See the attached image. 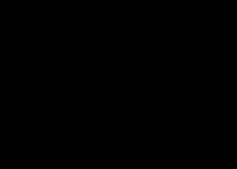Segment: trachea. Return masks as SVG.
I'll return each mask as SVG.
<instances>
[{
    "instance_id": "obj_1",
    "label": "trachea",
    "mask_w": 237,
    "mask_h": 169,
    "mask_svg": "<svg viewBox=\"0 0 237 169\" xmlns=\"http://www.w3.org/2000/svg\"><path fill=\"white\" fill-rule=\"evenodd\" d=\"M122 84H123V81L115 82V83L109 84V85H103L101 87V90L105 93H108V92L114 91L115 89H118V87ZM120 94L122 96H125L127 94V91L126 90H120Z\"/></svg>"
}]
</instances>
